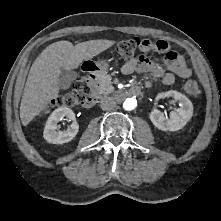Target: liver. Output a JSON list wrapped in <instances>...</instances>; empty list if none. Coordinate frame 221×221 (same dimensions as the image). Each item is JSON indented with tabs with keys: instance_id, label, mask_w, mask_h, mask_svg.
<instances>
[{
	"instance_id": "6515ba94",
	"label": "liver",
	"mask_w": 221,
	"mask_h": 221,
	"mask_svg": "<svg viewBox=\"0 0 221 221\" xmlns=\"http://www.w3.org/2000/svg\"><path fill=\"white\" fill-rule=\"evenodd\" d=\"M115 44L97 39L78 43L58 41L47 46L32 64L20 104V118L28 125L59 94L60 69H76L83 60L91 59Z\"/></svg>"
}]
</instances>
